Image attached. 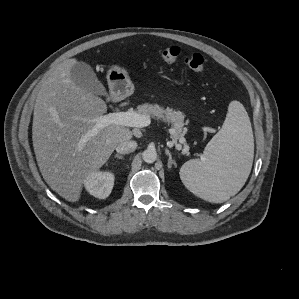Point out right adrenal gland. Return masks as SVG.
Listing matches in <instances>:
<instances>
[{"instance_id":"2a0ac1e0","label":"right adrenal gland","mask_w":299,"mask_h":299,"mask_svg":"<svg viewBox=\"0 0 299 299\" xmlns=\"http://www.w3.org/2000/svg\"><path fill=\"white\" fill-rule=\"evenodd\" d=\"M114 157L117 158V159H120V160L124 159V157L122 155H119V154H115Z\"/></svg>"}]
</instances>
